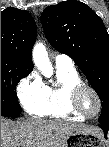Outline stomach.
Here are the masks:
<instances>
[{"instance_id":"obj_1","label":"stomach","mask_w":109,"mask_h":147,"mask_svg":"<svg viewBox=\"0 0 109 147\" xmlns=\"http://www.w3.org/2000/svg\"><path fill=\"white\" fill-rule=\"evenodd\" d=\"M66 147H107V141L104 136L73 133L67 138Z\"/></svg>"}]
</instances>
